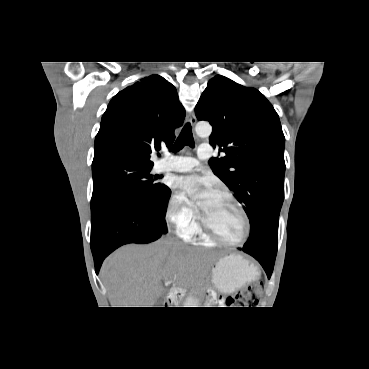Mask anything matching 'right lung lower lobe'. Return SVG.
<instances>
[{"label":"right lung lower lobe","mask_w":369,"mask_h":369,"mask_svg":"<svg viewBox=\"0 0 369 369\" xmlns=\"http://www.w3.org/2000/svg\"><path fill=\"white\" fill-rule=\"evenodd\" d=\"M170 194L160 207L127 195H114L91 212V250L98 274L106 256L128 243H150L166 232L160 215L166 214Z\"/></svg>","instance_id":"98d812e1"}]
</instances>
